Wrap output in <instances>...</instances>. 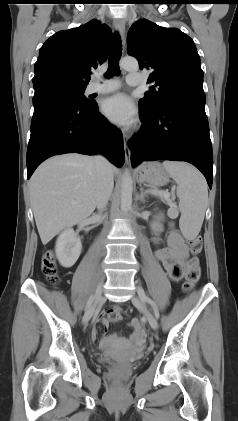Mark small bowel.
I'll list each match as a JSON object with an SVG mask.
<instances>
[{
  "instance_id": "small-bowel-1",
  "label": "small bowel",
  "mask_w": 238,
  "mask_h": 421,
  "mask_svg": "<svg viewBox=\"0 0 238 421\" xmlns=\"http://www.w3.org/2000/svg\"><path fill=\"white\" fill-rule=\"evenodd\" d=\"M169 226L170 230L167 236V244L164 247H158L155 254L169 276L173 280H179L184 273V265L189 250L183 237L174 227L173 223H170ZM152 229L154 233V242L158 245L160 243L159 235L164 229L162 215H158L155 218ZM120 320L121 310L117 306L110 308L107 312H100L96 317V323L102 325L105 331H107L111 322H118ZM130 326L133 328V333L130 338L131 341L137 345H141L143 343V331L140 322L138 320H132ZM96 333L97 328L94 327L92 336L94 337ZM115 341H117L116 336L104 337L101 344L103 347H107Z\"/></svg>"
}]
</instances>
